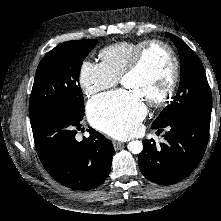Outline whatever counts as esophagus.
<instances>
[{
	"label": "esophagus",
	"mask_w": 221,
	"mask_h": 221,
	"mask_svg": "<svg viewBox=\"0 0 221 221\" xmlns=\"http://www.w3.org/2000/svg\"><path fill=\"white\" fill-rule=\"evenodd\" d=\"M113 146L115 149H118L121 145H123V142L117 141V140H112Z\"/></svg>",
	"instance_id": "obj_1"
}]
</instances>
